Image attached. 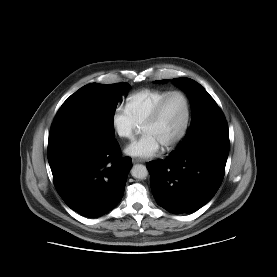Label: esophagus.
Returning a JSON list of instances; mask_svg holds the SVG:
<instances>
[{
    "label": "esophagus",
    "instance_id": "esophagus-1",
    "mask_svg": "<svg viewBox=\"0 0 277 277\" xmlns=\"http://www.w3.org/2000/svg\"><path fill=\"white\" fill-rule=\"evenodd\" d=\"M133 162L134 163H143V162H145L143 159H140V158H134L133 159Z\"/></svg>",
    "mask_w": 277,
    "mask_h": 277
}]
</instances>
